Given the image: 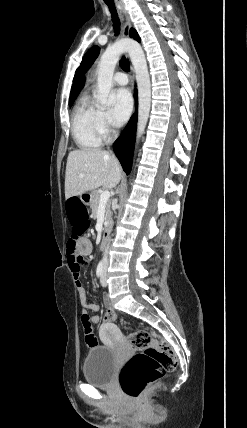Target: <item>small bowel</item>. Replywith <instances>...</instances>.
<instances>
[{
  "instance_id": "1",
  "label": "small bowel",
  "mask_w": 247,
  "mask_h": 428,
  "mask_svg": "<svg viewBox=\"0 0 247 428\" xmlns=\"http://www.w3.org/2000/svg\"><path fill=\"white\" fill-rule=\"evenodd\" d=\"M92 252V243L89 239H80L77 243V250L75 254L68 253V262L70 265V268L72 272L74 273L75 279H76V287L78 292L79 301L83 307L82 310V318L88 317L91 323L97 324L100 322V316L99 315H92L90 316L88 314V311H99V305L95 303H90L87 299V292L82 284V282L79 280V273H80V262L79 259H83V257L90 255ZM104 304L106 305L107 309L113 311L110 307V301L107 296L103 297Z\"/></svg>"
}]
</instances>
